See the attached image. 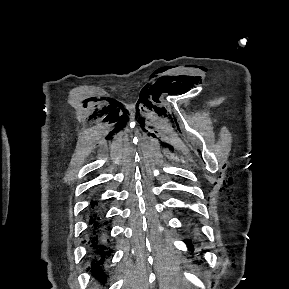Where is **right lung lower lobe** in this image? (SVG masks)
Instances as JSON below:
<instances>
[{"label":"right lung lower lobe","instance_id":"right-lung-lower-lobe-1","mask_svg":"<svg viewBox=\"0 0 289 289\" xmlns=\"http://www.w3.org/2000/svg\"><path fill=\"white\" fill-rule=\"evenodd\" d=\"M91 216H90V230L88 232V239L91 247L95 250V253L99 255L100 260H93L92 272L95 276L97 273L102 274L101 266L104 263L105 257L111 250H106V231L109 230L108 222L101 219V207L97 201L91 202ZM105 278V276H103Z\"/></svg>","mask_w":289,"mask_h":289}]
</instances>
